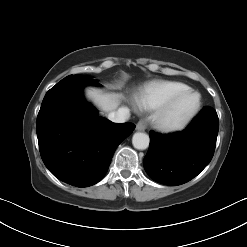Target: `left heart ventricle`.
<instances>
[{"mask_svg":"<svg viewBox=\"0 0 247 247\" xmlns=\"http://www.w3.org/2000/svg\"><path fill=\"white\" fill-rule=\"evenodd\" d=\"M196 97L188 95L183 97L174 107L170 119L176 121L184 117L195 105Z\"/></svg>","mask_w":247,"mask_h":247,"instance_id":"b2bd125f","label":"left heart ventricle"}]
</instances>
